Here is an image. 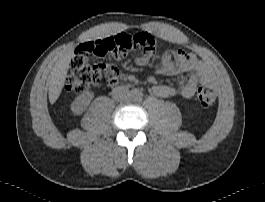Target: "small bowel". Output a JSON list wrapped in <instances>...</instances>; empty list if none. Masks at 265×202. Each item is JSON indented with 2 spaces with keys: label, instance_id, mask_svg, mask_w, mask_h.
Returning <instances> with one entry per match:
<instances>
[{
  "label": "small bowel",
  "instance_id": "c3829d8e",
  "mask_svg": "<svg viewBox=\"0 0 265 202\" xmlns=\"http://www.w3.org/2000/svg\"><path fill=\"white\" fill-rule=\"evenodd\" d=\"M101 39V38H100ZM96 39L81 43L76 48V53L79 56H101L102 53L97 49ZM136 63L145 65L146 58L137 57ZM156 74L178 75L186 74L187 80L179 88L172 85L157 84L153 87L154 93L161 98H171L181 96L185 99H190L194 96L197 87L203 84L212 83V77L207 66L198 60L193 54H184L179 52L166 51L162 56V64L154 70ZM133 79L132 76L129 77ZM120 77L110 80V85H115L119 82Z\"/></svg>",
  "mask_w": 265,
  "mask_h": 202
}]
</instances>
